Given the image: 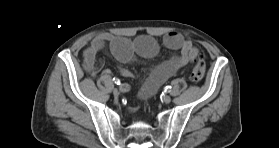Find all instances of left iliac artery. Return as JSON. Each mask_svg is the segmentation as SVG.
Returning a JSON list of instances; mask_svg holds the SVG:
<instances>
[{"label": "left iliac artery", "mask_w": 279, "mask_h": 148, "mask_svg": "<svg viewBox=\"0 0 279 148\" xmlns=\"http://www.w3.org/2000/svg\"><path fill=\"white\" fill-rule=\"evenodd\" d=\"M164 90L165 92H169L171 90V86H166Z\"/></svg>", "instance_id": "obj_1"}]
</instances>
